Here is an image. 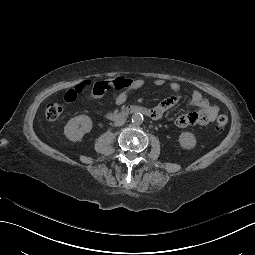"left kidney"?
I'll list each match as a JSON object with an SVG mask.
<instances>
[{
  "label": "left kidney",
  "instance_id": "1",
  "mask_svg": "<svg viewBox=\"0 0 255 255\" xmlns=\"http://www.w3.org/2000/svg\"><path fill=\"white\" fill-rule=\"evenodd\" d=\"M179 142L183 148L191 149L195 146L196 139L192 133L183 132L179 137Z\"/></svg>",
  "mask_w": 255,
  "mask_h": 255
}]
</instances>
